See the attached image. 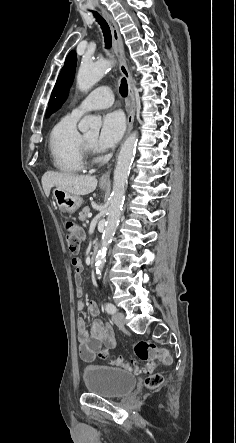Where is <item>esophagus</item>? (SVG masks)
Instances as JSON below:
<instances>
[{
  "mask_svg": "<svg viewBox=\"0 0 236 443\" xmlns=\"http://www.w3.org/2000/svg\"><path fill=\"white\" fill-rule=\"evenodd\" d=\"M101 11H102L104 17L106 18V20L110 26V29H111L113 47H114L116 56L119 60L120 72L126 78L127 83H128V93H129V98L131 101V106H130V110L128 112V117H127V124H128L127 135H128L131 132L132 127H133V122H134V117H135V109H136L133 79H132V76H131V74L128 70L127 64H126L123 40L120 35L118 26H117L116 22L114 21V19L112 18V16L105 9L101 8ZM110 172H111V168L109 167L108 170L101 176L100 183H109Z\"/></svg>",
  "mask_w": 236,
  "mask_h": 443,
  "instance_id": "obj_1",
  "label": "esophagus"
}]
</instances>
